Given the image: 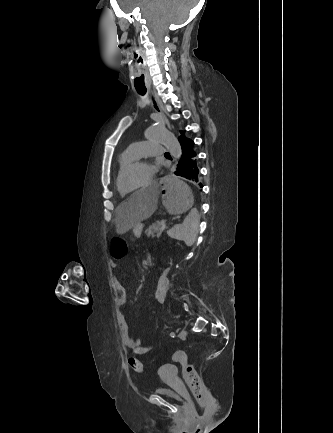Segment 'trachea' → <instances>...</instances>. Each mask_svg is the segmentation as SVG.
I'll return each instance as SVG.
<instances>
[{
    "instance_id": "obj_1",
    "label": "trachea",
    "mask_w": 333,
    "mask_h": 433,
    "mask_svg": "<svg viewBox=\"0 0 333 433\" xmlns=\"http://www.w3.org/2000/svg\"><path fill=\"white\" fill-rule=\"evenodd\" d=\"M136 90L140 95L146 94V88H144V87H136ZM165 155H170V154L168 152H166Z\"/></svg>"
}]
</instances>
